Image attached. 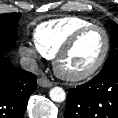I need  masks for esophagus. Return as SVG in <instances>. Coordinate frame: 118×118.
<instances>
[{
    "label": "esophagus",
    "instance_id": "34e87169",
    "mask_svg": "<svg viewBox=\"0 0 118 118\" xmlns=\"http://www.w3.org/2000/svg\"><path fill=\"white\" fill-rule=\"evenodd\" d=\"M37 82L41 87L48 88V87L53 86V83L49 79H47L46 77H40L37 80Z\"/></svg>",
    "mask_w": 118,
    "mask_h": 118
}]
</instances>
